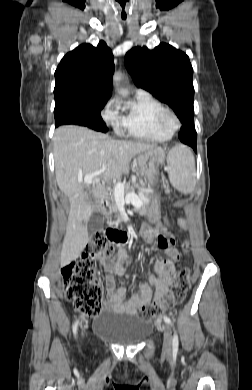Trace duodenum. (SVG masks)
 <instances>
[{
	"label": "duodenum",
	"instance_id": "410a0bca",
	"mask_svg": "<svg viewBox=\"0 0 252 390\" xmlns=\"http://www.w3.org/2000/svg\"><path fill=\"white\" fill-rule=\"evenodd\" d=\"M106 214L109 215L110 217H112L113 212H112V210H111L109 205L107 206ZM111 229L115 230L117 235H118L117 238L115 239V242L117 244H121V243H124L125 241H127L128 236H127L126 231L117 230L115 228H111Z\"/></svg>",
	"mask_w": 252,
	"mask_h": 390
}]
</instances>
